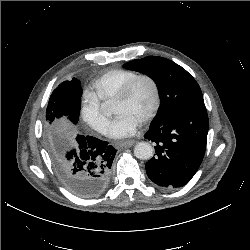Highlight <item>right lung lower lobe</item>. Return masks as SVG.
I'll list each match as a JSON object with an SVG mask.
<instances>
[{
  "mask_svg": "<svg viewBox=\"0 0 250 250\" xmlns=\"http://www.w3.org/2000/svg\"><path fill=\"white\" fill-rule=\"evenodd\" d=\"M116 150L92 136L77 135L75 148L64 152L58 173L68 189L82 198L99 195L107 186Z\"/></svg>",
  "mask_w": 250,
  "mask_h": 250,
  "instance_id": "1",
  "label": "right lung lower lobe"
}]
</instances>
